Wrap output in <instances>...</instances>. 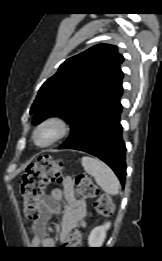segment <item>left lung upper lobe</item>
<instances>
[{
	"mask_svg": "<svg viewBox=\"0 0 162 261\" xmlns=\"http://www.w3.org/2000/svg\"><path fill=\"white\" fill-rule=\"evenodd\" d=\"M124 58L117 47L98 44L67 59L40 88L31 107L33 124L58 116L73 133L122 90Z\"/></svg>",
	"mask_w": 162,
	"mask_h": 261,
	"instance_id": "1",
	"label": "left lung upper lobe"
}]
</instances>
